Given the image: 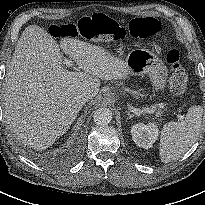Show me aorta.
I'll return each instance as SVG.
<instances>
[{
  "mask_svg": "<svg viewBox=\"0 0 205 205\" xmlns=\"http://www.w3.org/2000/svg\"><path fill=\"white\" fill-rule=\"evenodd\" d=\"M93 119L97 125H107L112 120V112L108 108H99L95 111Z\"/></svg>",
  "mask_w": 205,
  "mask_h": 205,
  "instance_id": "762f6f07",
  "label": "aorta"
}]
</instances>
